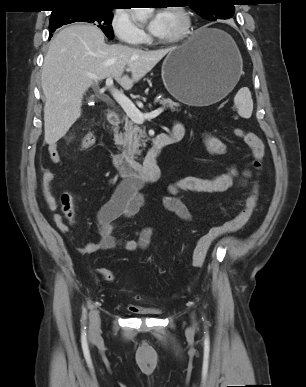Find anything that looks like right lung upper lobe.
Wrapping results in <instances>:
<instances>
[{
	"label": "right lung upper lobe",
	"instance_id": "cb5924a9",
	"mask_svg": "<svg viewBox=\"0 0 306 387\" xmlns=\"http://www.w3.org/2000/svg\"><path fill=\"white\" fill-rule=\"evenodd\" d=\"M56 9L52 13L59 12L68 7L74 6H104L111 7L114 0H55Z\"/></svg>",
	"mask_w": 306,
	"mask_h": 387
}]
</instances>
